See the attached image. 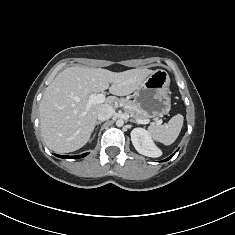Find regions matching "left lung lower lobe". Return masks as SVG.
I'll list each match as a JSON object with an SVG mask.
<instances>
[{
  "instance_id": "left-lung-lower-lobe-1",
  "label": "left lung lower lobe",
  "mask_w": 235,
  "mask_h": 235,
  "mask_svg": "<svg viewBox=\"0 0 235 235\" xmlns=\"http://www.w3.org/2000/svg\"><path fill=\"white\" fill-rule=\"evenodd\" d=\"M176 152H177V151H176ZM174 154H175V153H174ZM174 154H173V155H174ZM173 155H171L169 158L163 160V162L169 160Z\"/></svg>"
}]
</instances>
